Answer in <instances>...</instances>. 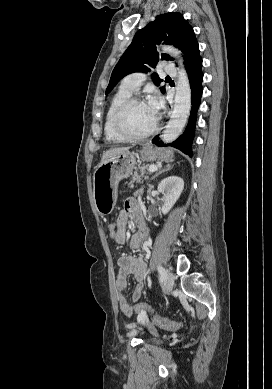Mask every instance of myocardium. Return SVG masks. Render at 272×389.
<instances>
[{
  "label": "myocardium",
  "instance_id": "1",
  "mask_svg": "<svg viewBox=\"0 0 272 389\" xmlns=\"http://www.w3.org/2000/svg\"><path fill=\"white\" fill-rule=\"evenodd\" d=\"M135 104H145V101L140 97L131 96L119 106V108L117 109L114 115V119H113L114 129L116 133L122 138H124L125 140L139 141V140L146 139L151 135H153L158 128V121L157 119H155L153 126L145 133L134 134L127 130L125 126V116L128 110Z\"/></svg>",
  "mask_w": 272,
  "mask_h": 389
}]
</instances>
